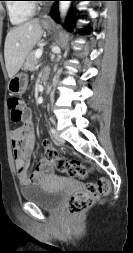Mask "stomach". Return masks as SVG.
I'll list each match as a JSON object with an SVG mask.
<instances>
[{
    "label": "stomach",
    "instance_id": "1",
    "mask_svg": "<svg viewBox=\"0 0 133 253\" xmlns=\"http://www.w3.org/2000/svg\"><path fill=\"white\" fill-rule=\"evenodd\" d=\"M45 29H50L51 24L48 22L42 23ZM28 77L25 73H18L12 77L8 84V89L12 94H22L27 88Z\"/></svg>",
    "mask_w": 133,
    "mask_h": 253
}]
</instances>
